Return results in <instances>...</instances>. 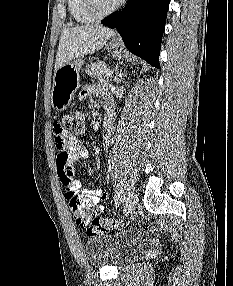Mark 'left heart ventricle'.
Returning a JSON list of instances; mask_svg holds the SVG:
<instances>
[{
    "mask_svg": "<svg viewBox=\"0 0 233 286\" xmlns=\"http://www.w3.org/2000/svg\"><path fill=\"white\" fill-rule=\"evenodd\" d=\"M100 9L105 10L112 7L118 0H96Z\"/></svg>",
    "mask_w": 233,
    "mask_h": 286,
    "instance_id": "left-heart-ventricle-1",
    "label": "left heart ventricle"
}]
</instances>
